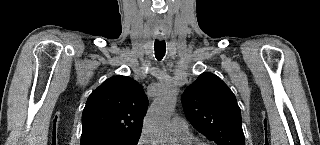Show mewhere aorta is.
Segmentation results:
<instances>
[{"label": "aorta", "instance_id": "762f6f07", "mask_svg": "<svg viewBox=\"0 0 320 145\" xmlns=\"http://www.w3.org/2000/svg\"><path fill=\"white\" fill-rule=\"evenodd\" d=\"M177 99V88L167 84L154 100L144 119L143 131L153 145H171L169 118Z\"/></svg>", "mask_w": 320, "mask_h": 145}]
</instances>
